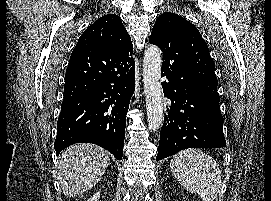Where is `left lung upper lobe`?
<instances>
[{"label":"left lung upper lobe","instance_id":"left-lung-upper-lobe-1","mask_svg":"<svg viewBox=\"0 0 271 201\" xmlns=\"http://www.w3.org/2000/svg\"><path fill=\"white\" fill-rule=\"evenodd\" d=\"M149 41L162 51L172 42L181 44L188 69L196 84L219 105L214 62L207 44L194 25L177 14L165 12L156 20Z\"/></svg>","mask_w":271,"mask_h":201}]
</instances>
